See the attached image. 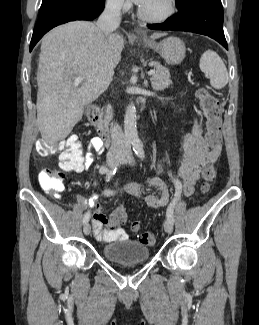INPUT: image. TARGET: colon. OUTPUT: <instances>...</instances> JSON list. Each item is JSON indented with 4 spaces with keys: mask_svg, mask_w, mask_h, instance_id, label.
I'll return each instance as SVG.
<instances>
[{
    "mask_svg": "<svg viewBox=\"0 0 259 325\" xmlns=\"http://www.w3.org/2000/svg\"><path fill=\"white\" fill-rule=\"evenodd\" d=\"M196 97L199 102V106L204 114L206 120V134L205 140L210 148H215L220 144L221 134V117H220V105L217 98L207 89L199 88L196 92ZM36 151L41 156L50 155L58 150L63 149L60 155V161L62 162V168L72 167L76 165L78 160L83 155L82 144L75 136L68 137L61 143L48 144L42 140L36 142ZM216 170L213 166L208 167L203 172L204 182L202 184V191L205 193L209 189L210 182L214 179ZM64 172L60 170H42L38 175V181L41 188L49 193L59 194L63 191L64 185ZM127 219V213L125 207H119L110 216V224L113 227H121ZM140 222L133 221L131 229L134 232L140 230ZM139 241L147 246L155 244L156 238L152 232L146 231L140 234Z\"/></svg>",
    "mask_w": 259,
    "mask_h": 325,
    "instance_id": "5ec220e1",
    "label": "colon"
}]
</instances>
